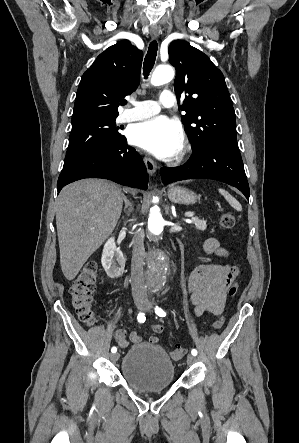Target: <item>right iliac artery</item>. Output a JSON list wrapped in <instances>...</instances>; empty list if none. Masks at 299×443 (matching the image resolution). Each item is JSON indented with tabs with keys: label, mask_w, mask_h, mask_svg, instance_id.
<instances>
[{
	"label": "right iliac artery",
	"mask_w": 299,
	"mask_h": 443,
	"mask_svg": "<svg viewBox=\"0 0 299 443\" xmlns=\"http://www.w3.org/2000/svg\"><path fill=\"white\" fill-rule=\"evenodd\" d=\"M137 319H138L139 323H144L145 319H146L145 314L143 312H140L138 314V316H137ZM116 351H117V348L116 347H112L111 352L115 353Z\"/></svg>",
	"instance_id": "obj_1"
}]
</instances>
